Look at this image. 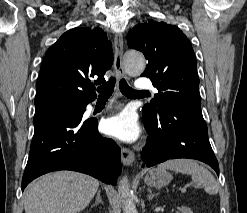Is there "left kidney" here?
Segmentation results:
<instances>
[{"instance_id":"obj_1","label":"left kidney","mask_w":247,"mask_h":213,"mask_svg":"<svg viewBox=\"0 0 247 213\" xmlns=\"http://www.w3.org/2000/svg\"><path fill=\"white\" fill-rule=\"evenodd\" d=\"M179 211H180L181 213H193L192 210H191L190 208L186 207V206L180 207V208H179Z\"/></svg>"}]
</instances>
